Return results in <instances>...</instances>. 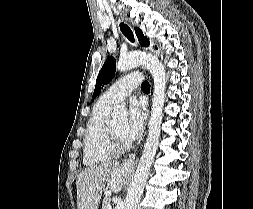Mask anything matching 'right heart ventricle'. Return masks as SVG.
I'll use <instances>...</instances> for the list:
<instances>
[{
	"instance_id": "1",
	"label": "right heart ventricle",
	"mask_w": 253,
	"mask_h": 209,
	"mask_svg": "<svg viewBox=\"0 0 253 209\" xmlns=\"http://www.w3.org/2000/svg\"><path fill=\"white\" fill-rule=\"evenodd\" d=\"M112 109L101 100L94 105L84 136V164L95 166L116 156L109 144L106 119Z\"/></svg>"
}]
</instances>
